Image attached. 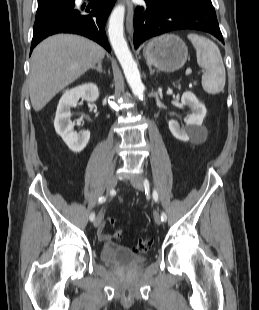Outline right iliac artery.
<instances>
[{"mask_svg": "<svg viewBox=\"0 0 259 310\" xmlns=\"http://www.w3.org/2000/svg\"><path fill=\"white\" fill-rule=\"evenodd\" d=\"M106 197H100L98 200V203H103L105 202ZM90 221H93L95 219V213H91L89 216Z\"/></svg>", "mask_w": 259, "mask_h": 310, "instance_id": "82829eb1", "label": "right iliac artery"}]
</instances>
